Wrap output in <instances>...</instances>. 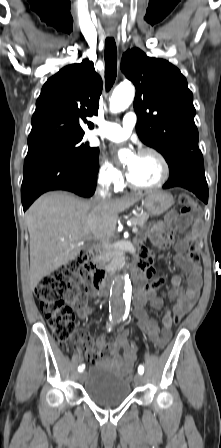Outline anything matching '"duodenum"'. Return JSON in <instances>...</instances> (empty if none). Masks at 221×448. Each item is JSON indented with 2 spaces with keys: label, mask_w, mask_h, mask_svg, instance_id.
I'll list each match as a JSON object with an SVG mask.
<instances>
[{
  "label": "duodenum",
  "mask_w": 221,
  "mask_h": 448,
  "mask_svg": "<svg viewBox=\"0 0 221 448\" xmlns=\"http://www.w3.org/2000/svg\"><path fill=\"white\" fill-rule=\"evenodd\" d=\"M144 258H145L144 253H142L138 257L139 260L137 263L138 271L136 272V280L138 285L142 283L141 267ZM86 267L88 274L90 275V283H89L90 291L93 294L98 295L100 297L106 296L110 289L109 274L102 267L99 266L92 251L89 252V261Z\"/></svg>",
  "instance_id": "410a0bca"
}]
</instances>
